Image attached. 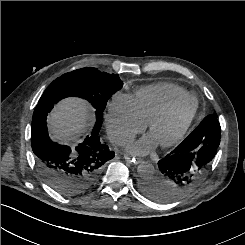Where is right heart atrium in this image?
<instances>
[{"instance_id": "obj_1", "label": "right heart atrium", "mask_w": 245, "mask_h": 245, "mask_svg": "<svg viewBox=\"0 0 245 245\" xmlns=\"http://www.w3.org/2000/svg\"><path fill=\"white\" fill-rule=\"evenodd\" d=\"M105 124L109 138L119 145L126 144L146 127L133 97L126 94H115L108 100Z\"/></svg>"}]
</instances>
